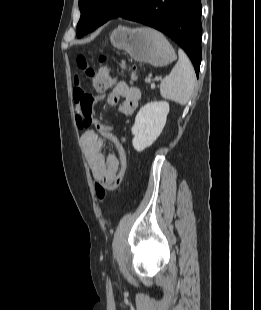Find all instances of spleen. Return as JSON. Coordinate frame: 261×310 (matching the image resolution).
<instances>
[{"instance_id": "obj_1", "label": "spleen", "mask_w": 261, "mask_h": 310, "mask_svg": "<svg viewBox=\"0 0 261 310\" xmlns=\"http://www.w3.org/2000/svg\"><path fill=\"white\" fill-rule=\"evenodd\" d=\"M178 55V62L171 73L161 81L160 93L165 99L185 105L192 95L196 75L187 55L182 50L178 51Z\"/></svg>"}]
</instances>
